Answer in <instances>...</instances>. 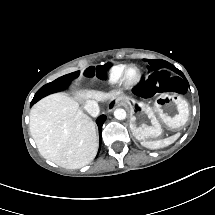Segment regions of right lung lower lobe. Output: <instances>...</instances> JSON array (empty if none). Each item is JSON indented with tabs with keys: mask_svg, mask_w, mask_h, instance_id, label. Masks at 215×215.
Segmentation results:
<instances>
[{
	"mask_svg": "<svg viewBox=\"0 0 215 215\" xmlns=\"http://www.w3.org/2000/svg\"><path fill=\"white\" fill-rule=\"evenodd\" d=\"M106 120V116L105 115H101L98 119H97V124L99 127V133H100V137H101V130H102V125Z\"/></svg>",
	"mask_w": 215,
	"mask_h": 215,
	"instance_id": "1",
	"label": "right lung lower lobe"
}]
</instances>
